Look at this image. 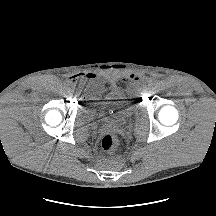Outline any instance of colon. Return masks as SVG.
Wrapping results in <instances>:
<instances>
[{
	"label": "colon",
	"mask_w": 216,
	"mask_h": 216,
	"mask_svg": "<svg viewBox=\"0 0 216 216\" xmlns=\"http://www.w3.org/2000/svg\"><path fill=\"white\" fill-rule=\"evenodd\" d=\"M120 138L116 134H106L101 140V146L105 151H114L120 146Z\"/></svg>",
	"instance_id": "obj_1"
}]
</instances>
